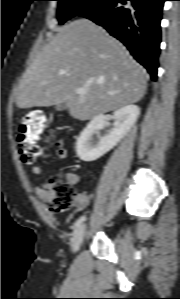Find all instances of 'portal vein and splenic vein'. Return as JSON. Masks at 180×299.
I'll return each mask as SVG.
<instances>
[{
  "label": "portal vein and splenic vein",
  "mask_w": 180,
  "mask_h": 299,
  "mask_svg": "<svg viewBox=\"0 0 180 299\" xmlns=\"http://www.w3.org/2000/svg\"><path fill=\"white\" fill-rule=\"evenodd\" d=\"M75 92L79 95H84L88 92V89L86 87H83V88H78L75 90ZM109 95H114L113 92H108Z\"/></svg>",
  "instance_id": "18ae733b"
}]
</instances>
